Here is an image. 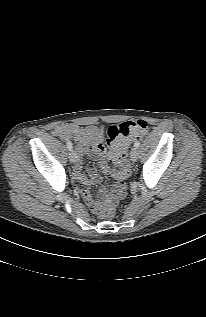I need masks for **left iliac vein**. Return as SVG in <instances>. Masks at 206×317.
I'll list each match as a JSON object with an SVG mask.
<instances>
[{
	"label": "left iliac vein",
	"instance_id": "left-iliac-vein-1",
	"mask_svg": "<svg viewBox=\"0 0 206 317\" xmlns=\"http://www.w3.org/2000/svg\"><path fill=\"white\" fill-rule=\"evenodd\" d=\"M130 157H131V160H132L133 162H136V161H137V159H138V150H137V148L134 147V148L131 150Z\"/></svg>",
	"mask_w": 206,
	"mask_h": 317
}]
</instances>
